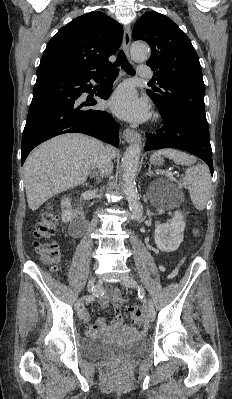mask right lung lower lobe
Returning a JSON list of instances; mask_svg holds the SVG:
<instances>
[{
  "label": "right lung lower lobe",
  "instance_id": "1",
  "mask_svg": "<svg viewBox=\"0 0 232 399\" xmlns=\"http://www.w3.org/2000/svg\"><path fill=\"white\" fill-rule=\"evenodd\" d=\"M111 78L97 96L108 99L117 70L90 74H57L37 76L33 99L23 131L21 164L30 151L41 142L59 134L76 132L94 136L104 142L119 146V125L110 113L91 109L97 104L93 95L86 100L81 96L90 93L93 79L100 82L103 76Z\"/></svg>",
  "mask_w": 232,
  "mask_h": 399
}]
</instances>
